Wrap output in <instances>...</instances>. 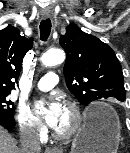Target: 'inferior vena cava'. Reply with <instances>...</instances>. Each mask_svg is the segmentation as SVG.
Masks as SVG:
<instances>
[{
  "label": "inferior vena cava",
  "mask_w": 130,
  "mask_h": 153,
  "mask_svg": "<svg viewBox=\"0 0 130 153\" xmlns=\"http://www.w3.org/2000/svg\"><path fill=\"white\" fill-rule=\"evenodd\" d=\"M22 153H40L41 145L38 131L33 128L21 129Z\"/></svg>",
  "instance_id": "inferior-vena-cava-1"
}]
</instances>
